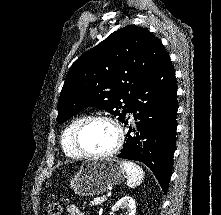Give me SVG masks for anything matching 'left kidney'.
Here are the masks:
<instances>
[{
    "instance_id": "obj_1",
    "label": "left kidney",
    "mask_w": 221,
    "mask_h": 215,
    "mask_svg": "<svg viewBox=\"0 0 221 215\" xmlns=\"http://www.w3.org/2000/svg\"><path fill=\"white\" fill-rule=\"evenodd\" d=\"M120 209H126L128 215H135L136 212V203L131 196H124L116 202L112 210L117 211Z\"/></svg>"
}]
</instances>
